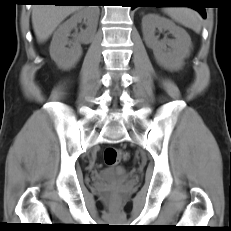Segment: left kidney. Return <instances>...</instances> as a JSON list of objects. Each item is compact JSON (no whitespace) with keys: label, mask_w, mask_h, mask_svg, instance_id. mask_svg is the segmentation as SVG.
Instances as JSON below:
<instances>
[{"label":"left kidney","mask_w":231,"mask_h":231,"mask_svg":"<svg viewBox=\"0 0 231 231\" xmlns=\"http://www.w3.org/2000/svg\"><path fill=\"white\" fill-rule=\"evenodd\" d=\"M156 28L168 30L175 39L159 41L155 36ZM142 31L146 45L153 50L155 59L161 66L171 71L181 69L191 47V38L183 28L169 19L148 14L142 19Z\"/></svg>","instance_id":"left-kidney-1"}]
</instances>
